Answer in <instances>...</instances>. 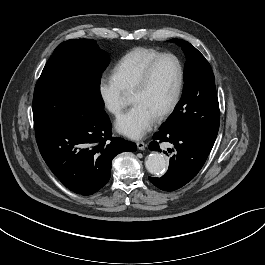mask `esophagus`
I'll return each mask as SVG.
<instances>
[{"instance_id":"1","label":"esophagus","mask_w":265,"mask_h":265,"mask_svg":"<svg viewBox=\"0 0 265 265\" xmlns=\"http://www.w3.org/2000/svg\"><path fill=\"white\" fill-rule=\"evenodd\" d=\"M136 145L139 150H144L146 147V144L143 141H138Z\"/></svg>"}]
</instances>
